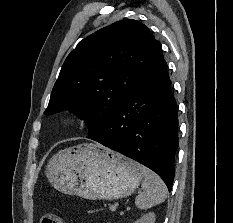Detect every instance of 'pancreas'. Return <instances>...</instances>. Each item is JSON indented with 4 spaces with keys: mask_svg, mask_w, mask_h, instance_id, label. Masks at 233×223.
Segmentation results:
<instances>
[{
    "mask_svg": "<svg viewBox=\"0 0 233 223\" xmlns=\"http://www.w3.org/2000/svg\"><path fill=\"white\" fill-rule=\"evenodd\" d=\"M110 209H111V211H114L115 205H111Z\"/></svg>",
    "mask_w": 233,
    "mask_h": 223,
    "instance_id": "obj_1",
    "label": "pancreas"
}]
</instances>
